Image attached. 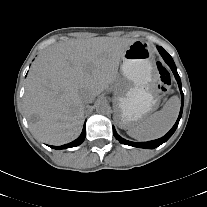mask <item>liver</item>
<instances>
[{"label": "liver", "instance_id": "liver-1", "mask_svg": "<svg viewBox=\"0 0 207 207\" xmlns=\"http://www.w3.org/2000/svg\"><path fill=\"white\" fill-rule=\"evenodd\" d=\"M134 39L94 37L56 43L33 63L24 94L31 131L43 142L62 145L82 128L83 91L98 96L117 79L120 59Z\"/></svg>", "mask_w": 207, "mask_h": 207}]
</instances>
